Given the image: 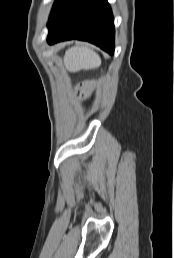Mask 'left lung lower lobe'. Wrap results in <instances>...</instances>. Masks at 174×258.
Wrapping results in <instances>:
<instances>
[{"label": "left lung lower lobe", "instance_id": "left-lung-lower-lobe-1", "mask_svg": "<svg viewBox=\"0 0 174 258\" xmlns=\"http://www.w3.org/2000/svg\"><path fill=\"white\" fill-rule=\"evenodd\" d=\"M47 26L49 44L79 39L114 53V19L107 0H57Z\"/></svg>", "mask_w": 174, "mask_h": 258}]
</instances>
